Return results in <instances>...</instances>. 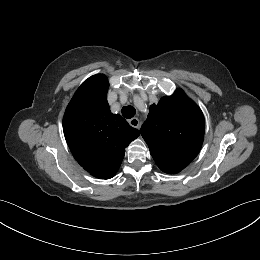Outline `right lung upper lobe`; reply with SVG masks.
I'll return each instance as SVG.
<instances>
[{"instance_id": "cb5924a9", "label": "right lung upper lobe", "mask_w": 260, "mask_h": 260, "mask_svg": "<svg viewBox=\"0 0 260 260\" xmlns=\"http://www.w3.org/2000/svg\"><path fill=\"white\" fill-rule=\"evenodd\" d=\"M108 79L97 74L78 88L68 104L63 130L75 160L91 175L112 178L125 148L140 135L119 114H112L107 101Z\"/></svg>"}]
</instances>
